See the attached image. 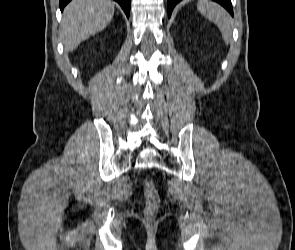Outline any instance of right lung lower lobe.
Segmentation results:
<instances>
[{
  "mask_svg": "<svg viewBox=\"0 0 295 250\" xmlns=\"http://www.w3.org/2000/svg\"><path fill=\"white\" fill-rule=\"evenodd\" d=\"M71 0H60L59 1V6H60V10L62 11L64 9V7L70 2ZM116 2H118L120 4V6L122 7V9L124 10L125 14L127 17H129V13H130V6H131V0H115Z\"/></svg>",
  "mask_w": 295,
  "mask_h": 250,
  "instance_id": "1",
  "label": "right lung lower lobe"
}]
</instances>
